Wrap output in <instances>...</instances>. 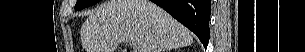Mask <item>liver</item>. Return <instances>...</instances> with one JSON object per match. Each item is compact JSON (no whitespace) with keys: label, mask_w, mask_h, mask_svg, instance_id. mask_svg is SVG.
<instances>
[{"label":"liver","mask_w":305,"mask_h":52,"mask_svg":"<svg viewBox=\"0 0 305 52\" xmlns=\"http://www.w3.org/2000/svg\"><path fill=\"white\" fill-rule=\"evenodd\" d=\"M80 34L85 52H114L128 40L131 52H165L193 43L188 29L148 0H108L92 10Z\"/></svg>","instance_id":"obj_1"}]
</instances>
